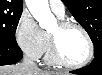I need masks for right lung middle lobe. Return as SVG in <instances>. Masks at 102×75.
Instances as JSON below:
<instances>
[{
  "mask_svg": "<svg viewBox=\"0 0 102 75\" xmlns=\"http://www.w3.org/2000/svg\"><path fill=\"white\" fill-rule=\"evenodd\" d=\"M22 8L0 4V43L17 45L15 31Z\"/></svg>",
  "mask_w": 102,
  "mask_h": 75,
  "instance_id": "1",
  "label": "right lung middle lobe"
}]
</instances>
